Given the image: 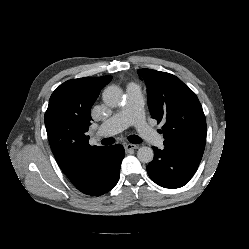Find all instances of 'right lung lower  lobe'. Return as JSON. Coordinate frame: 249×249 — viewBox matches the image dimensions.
<instances>
[{
    "instance_id": "98d812e1",
    "label": "right lung lower lobe",
    "mask_w": 249,
    "mask_h": 249,
    "mask_svg": "<svg viewBox=\"0 0 249 249\" xmlns=\"http://www.w3.org/2000/svg\"><path fill=\"white\" fill-rule=\"evenodd\" d=\"M124 156L122 145L107 147L102 157L84 169L80 183L74 186L82 193L91 196L107 193L119 180L120 165Z\"/></svg>"
}]
</instances>
